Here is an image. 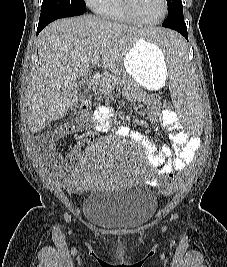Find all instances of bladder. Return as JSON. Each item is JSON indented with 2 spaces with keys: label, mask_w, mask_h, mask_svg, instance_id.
I'll return each instance as SVG.
<instances>
[{
  "label": "bladder",
  "mask_w": 227,
  "mask_h": 267,
  "mask_svg": "<svg viewBox=\"0 0 227 267\" xmlns=\"http://www.w3.org/2000/svg\"><path fill=\"white\" fill-rule=\"evenodd\" d=\"M157 210L154 193L145 186L94 188L83 203V215L97 227L123 230L148 223Z\"/></svg>",
  "instance_id": "1"
}]
</instances>
